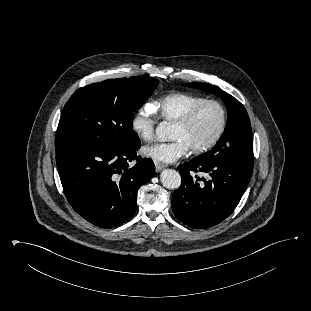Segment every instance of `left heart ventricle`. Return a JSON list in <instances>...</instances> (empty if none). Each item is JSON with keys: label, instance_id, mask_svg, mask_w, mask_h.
Listing matches in <instances>:
<instances>
[{"label": "left heart ventricle", "instance_id": "1", "mask_svg": "<svg viewBox=\"0 0 311 311\" xmlns=\"http://www.w3.org/2000/svg\"><path fill=\"white\" fill-rule=\"evenodd\" d=\"M220 124V111L214 105L203 107L187 127L173 125L172 139L183 140L189 148L198 147L208 142Z\"/></svg>", "mask_w": 311, "mask_h": 311}]
</instances>
